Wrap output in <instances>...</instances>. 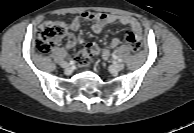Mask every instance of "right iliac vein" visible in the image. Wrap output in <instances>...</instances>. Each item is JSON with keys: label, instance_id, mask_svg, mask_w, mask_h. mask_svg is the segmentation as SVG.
Returning a JSON list of instances; mask_svg holds the SVG:
<instances>
[{"label": "right iliac vein", "instance_id": "63e3f726", "mask_svg": "<svg viewBox=\"0 0 194 133\" xmlns=\"http://www.w3.org/2000/svg\"><path fill=\"white\" fill-rule=\"evenodd\" d=\"M61 67L62 68H64V69H70V64L69 63H67V62H65V61H63V62H61Z\"/></svg>", "mask_w": 194, "mask_h": 133}]
</instances>
